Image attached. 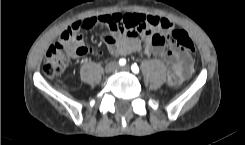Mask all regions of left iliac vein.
Masks as SVG:
<instances>
[{"instance_id": "left-iliac-vein-1", "label": "left iliac vein", "mask_w": 245, "mask_h": 145, "mask_svg": "<svg viewBox=\"0 0 245 145\" xmlns=\"http://www.w3.org/2000/svg\"><path fill=\"white\" fill-rule=\"evenodd\" d=\"M118 70H119V71H123V72H127V71L130 70V67H129V66H124V67H122V68H119Z\"/></svg>"}]
</instances>
